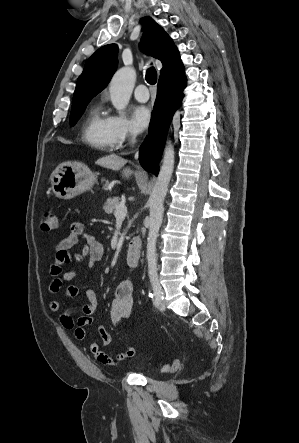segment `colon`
I'll use <instances>...</instances> for the list:
<instances>
[{"label":"colon","mask_w":299,"mask_h":443,"mask_svg":"<svg viewBox=\"0 0 299 443\" xmlns=\"http://www.w3.org/2000/svg\"><path fill=\"white\" fill-rule=\"evenodd\" d=\"M43 231H53L58 228V217L53 211H46L41 224ZM179 368V361L173 360L160 367L163 372H175Z\"/></svg>","instance_id":"5ec220e1"}]
</instances>
